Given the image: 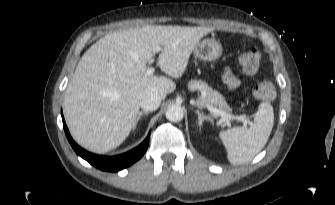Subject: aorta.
<instances>
[{
	"label": "aorta",
	"mask_w": 335,
	"mask_h": 205,
	"mask_svg": "<svg viewBox=\"0 0 335 205\" xmlns=\"http://www.w3.org/2000/svg\"><path fill=\"white\" fill-rule=\"evenodd\" d=\"M166 118L171 122H177L183 119V109L179 105H170L166 110Z\"/></svg>",
	"instance_id": "aorta-1"
}]
</instances>
